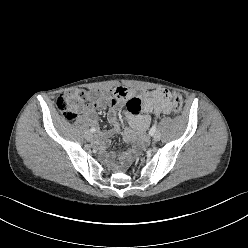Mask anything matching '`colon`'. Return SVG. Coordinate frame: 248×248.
<instances>
[{
	"label": "colon",
	"instance_id": "5ec220e1",
	"mask_svg": "<svg viewBox=\"0 0 248 248\" xmlns=\"http://www.w3.org/2000/svg\"><path fill=\"white\" fill-rule=\"evenodd\" d=\"M162 95L171 99L174 113L178 114L181 112L183 100L179 94L171 93L168 90H163ZM72 98L79 103L84 102L87 99V94L84 91H78L74 95H72ZM56 107L60 112H62V114L68 121L74 120L77 116V111L71 106V97L66 94H62L58 97L56 101Z\"/></svg>",
	"mask_w": 248,
	"mask_h": 248
}]
</instances>
